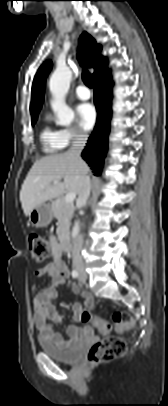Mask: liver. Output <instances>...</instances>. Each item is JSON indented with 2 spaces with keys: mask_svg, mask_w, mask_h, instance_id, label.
<instances>
[{
  "mask_svg": "<svg viewBox=\"0 0 168 406\" xmlns=\"http://www.w3.org/2000/svg\"><path fill=\"white\" fill-rule=\"evenodd\" d=\"M88 171L84 161L79 164L68 152L45 156L36 161L20 191V202L25 216H29L36 206L61 196L65 190L79 194L82 176ZM61 179L64 181L61 182Z\"/></svg>",
  "mask_w": 168,
  "mask_h": 406,
  "instance_id": "1",
  "label": "liver"
}]
</instances>
